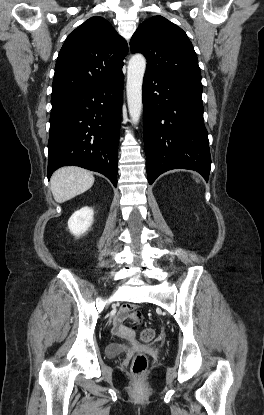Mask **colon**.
Wrapping results in <instances>:
<instances>
[{
	"label": "colon",
	"instance_id": "5ec220e1",
	"mask_svg": "<svg viewBox=\"0 0 264 415\" xmlns=\"http://www.w3.org/2000/svg\"><path fill=\"white\" fill-rule=\"evenodd\" d=\"M129 311L130 315V323L136 325L142 321L143 314L142 312L135 308L130 307ZM154 330L153 329H145L142 332L141 338L145 342H150L154 338ZM148 368V358L144 354H137L132 363V371L137 380H141L142 377L145 375L146 370Z\"/></svg>",
	"mask_w": 264,
	"mask_h": 415
}]
</instances>
